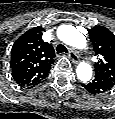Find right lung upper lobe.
<instances>
[{"label": "right lung upper lobe", "mask_w": 115, "mask_h": 119, "mask_svg": "<svg viewBox=\"0 0 115 119\" xmlns=\"http://www.w3.org/2000/svg\"><path fill=\"white\" fill-rule=\"evenodd\" d=\"M42 27H34L20 36L12 46V76L20 86L34 87L43 80L53 63L55 51L42 39Z\"/></svg>", "instance_id": "obj_1"}]
</instances>
